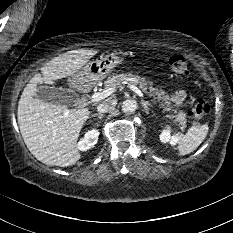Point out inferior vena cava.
<instances>
[{
  "instance_id": "1",
  "label": "inferior vena cava",
  "mask_w": 233,
  "mask_h": 233,
  "mask_svg": "<svg viewBox=\"0 0 233 233\" xmlns=\"http://www.w3.org/2000/svg\"><path fill=\"white\" fill-rule=\"evenodd\" d=\"M115 104H116V100H112L108 98L97 106V111L99 113L108 112L115 106Z\"/></svg>"
}]
</instances>
